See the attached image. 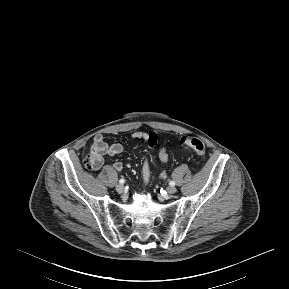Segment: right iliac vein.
<instances>
[{
    "mask_svg": "<svg viewBox=\"0 0 289 289\" xmlns=\"http://www.w3.org/2000/svg\"><path fill=\"white\" fill-rule=\"evenodd\" d=\"M116 191H117L118 193H123V191H124V186H123V184H118V185L116 186Z\"/></svg>",
    "mask_w": 289,
    "mask_h": 289,
    "instance_id": "obj_1",
    "label": "right iliac vein"
}]
</instances>
